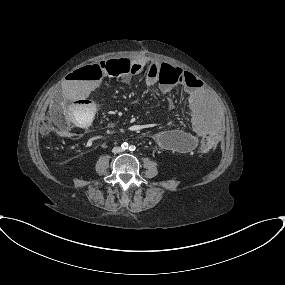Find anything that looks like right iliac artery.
Here are the masks:
<instances>
[{
  "label": "right iliac artery",
  "mask_w": 285,
  "mask_h": 285,
  "mask_svg": "<svg viewBox=\"0 0 285 285\" xmlns=\"http://www.w3.org/2000/svg\"><path fill=\"white\" fill-rule=\"evenodd\" d=\"M121 147H122L123 149H128V143H126V142L123 143Z\"/></svg>",
  "instance_id": "82829eb1"
}]
</instances>
